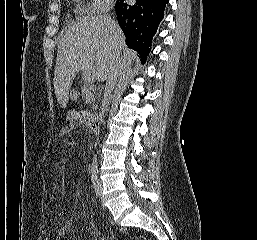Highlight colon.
<instances>
[{
	"label": "colon",
	"mask_w": 257,
	"mask_h": 240,
	"mask_svg": "<svg viewBox=\"0 0 257 240\" xmlns=\"http://www.w3.org/2000/svg\"><path fill=\"white\" fill-rule=\"evenodd\" d=\"M70 99L72 101H77L78 99V92L76 90H72L70 92ZM43 240H50L48 237H47V233L46 231H43Z\"/></svg>",
	"instance_id": "obj_1"
}]
</instances>
